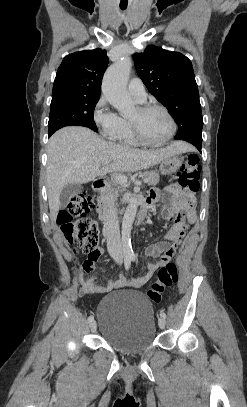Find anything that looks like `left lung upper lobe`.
<instances>
[{
  "label": "left lung upper lobe",
  "instance_id": "5c2ea615",
  "mask_svg": "<svg viewBox=\"0 0 247 407\" xmlns=\"http://www.w3.org/2000/svg\"><path fill=\"white\" fill-rule=\"evenodd\" d=\"M139 77L178 125L177 135L202 131L199 93L190 60L177 52L148 46L133 55Z\"/></svg>",
  "mask_w": 247,
  "mask_h": 407
}]
</instances>
